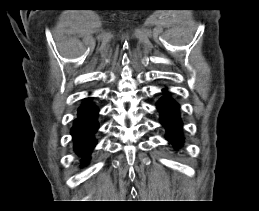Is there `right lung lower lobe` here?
I'll return each mask as SVG.
<instances>
[{"instance_id": "obj_1", "label": "right lung lower lobe", "mask_w": 259, "mask_h": 211, "mask_svg": "<svg viewBox=\"0 0 259 211\" xmlns=\"http://www.w3.org/2000/svg\"><path fill=\"white\" fill-rule=\"evenodd\" d=\"M98 108L85 100L79 107L77 118L74 120L71 134L73 135L74 150L82 158V164L89 161L91 150L96 144L94 133L99 125L97 122Z\"/></svg>"}]
</instances>
